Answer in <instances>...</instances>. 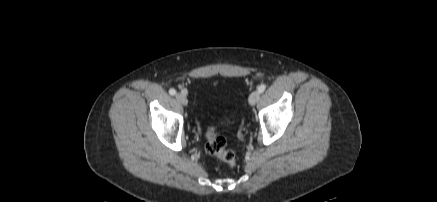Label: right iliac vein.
I'll return each instance as SVG.
<instances>
[{"label": "right iliac vein", "instance_id": "63e3f726", "mask_svg": "<svg viewBox=\"0 0 437 202\" xmlns=\"http://www.w3.org/2000/svg\"><path fill=\"white\" fill-rule=\"evenodd\" d=\"M176 99L182 104V105H184V106H187V104H188V100H187V97H186V94L185 93H183V92H181V93H177L176 94Z\"/></svg>", "mask_w": 437, "mask_h": 202}]
</instances>
